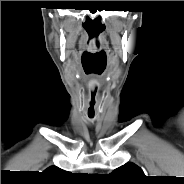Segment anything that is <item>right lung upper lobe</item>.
Returning <instances> with one entry per match:
<instances>
[{"mask_svg": "<svg viewBox=\"0 0 184 184\" xmlns=\"http://www.w3.org/2000/svg\"><path fill=\"white\" fill-rule=\"evenodd\" d=\"M45 174L51 177H60L63 176L65 173L62 169L56 167V166H51L48 169L44 171Z\"/></svg>", "mask_w": 184, "mask_h": 184, "instance_id": "cb5924a9", "label": "right lung upper lobe"}]
</instances>
